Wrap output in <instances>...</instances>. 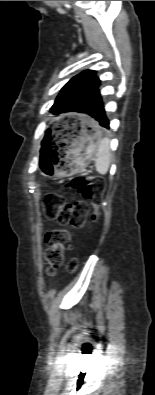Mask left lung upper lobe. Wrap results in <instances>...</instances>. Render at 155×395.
Segmentation results:
<instances>
[{"instance_id": "obj_1", "label": "left lung upper lobe", "mask_w": 155, "mask_h": 395, "mask_svg": "<svg viewBox=\"0 0 155 395\" xmlns=\"http://www.w3.org/2000/svg\"><path fill=\"white\" fill-rule=\"evenodd\" d=\"M96 71L85 70L74 76L61 89L50 112L58 115L64 112L75 111L81 113L85 99L100 85Z\"/></svg>"}]
</instances>
